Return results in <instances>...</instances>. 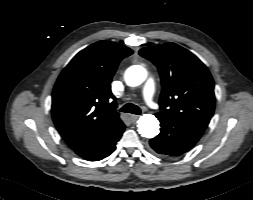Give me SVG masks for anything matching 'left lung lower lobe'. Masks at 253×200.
Here are the masks:
<instances>
[{
	"label": "left lung lower lobe",
	"instance_id": "1",
	"mask_svg": "<svg viewBox=\"0 0 253 200\" xmlns=\"http://www.w3.org/2000/svg\"><path fill=\"white\" fill-rule=\"evenodd\" d=\"M160 133L150 140L151 148L164 157L179 156L189 151L200 139L205 128L159 112Z\"/></svg>",
	"mask_w": 253,
	"mask_h": 200
}]
</instances>
